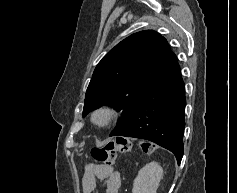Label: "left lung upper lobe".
<instances>
[{"instance_id":"1","label":"left lung upper lobe","mask_w":237,"mask_h":193,"mask_svg":"<svg viewBox=\"0 0 237 193\" xmlns=\"http://www.w3.org/2000/svg\"><path fill=\"white\" fill-rule=\"evenodd\" d=\"M161 34L134 33L118 43L99 62L86 91L83 116L103 105L122 110L110 136L121 132L147 89L175 58Z\"/></svg>"}]
</instances>
